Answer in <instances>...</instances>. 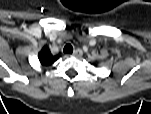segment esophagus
<instances>
[{"label": "esophagus", "mask_w": 151, "mask_h": 114, "mask_svg": "<svg viewBox=\"0 0 151 114\" xmlns=\"http://www.w3.org/2000/svg\"><path fill=\"white\" fill-rule=\"evenodd\" d=\"M83 55V51L81 49H76L74 52H73V56L74 57H81Z\"/></svg>", "instance_id": "34e87169"}]
</instances>
